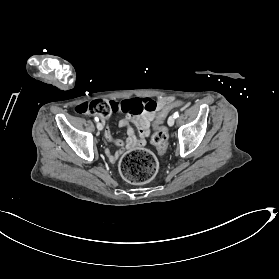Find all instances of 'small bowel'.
I'll return each mask as SVG.
<instances>
[{"label":"small bowel","mask_w":279,"mask_h":279,"mask_svg":"<svg viewBox=\"0 0 279 279\" xmlns=\"http://www.w3.org/2000/svg\"><path fill=\"white\" fill-rule=\"evenodd\" d=\"M168 99H159L158 109L162 108L164 102ZM155 118L154 112H145L138 116L128 115L119 121L120 127H125L127 132V138L125 140L115 139L109 127L105 129L104 136L108 142L118 147L116 152H111L109 149L106 150V155L111 162H115L118 157L123 153L125 148H133L137 146L144 145L146 139L150 134V124ZM134 123L138 128L139 135L136 136L134 128L132 126Z\"/></svg>","instance_id":"small-bowel-1"}]
</instances>
